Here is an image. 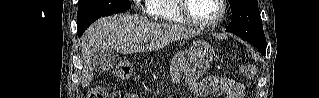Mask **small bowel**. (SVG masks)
Instances as JSON below:
<instances>
[{"label":"small bowel","mask_w":319,"mask_h":98,"mask_svg":"<svg viewBox=\"0 0 319 98\" xmlns=\"http://www.w3.org/2000/svg\"><path fill=\"white\" fill-rule=\"evenodd\" d=\"M172 78L175 83H179L181 79V73L179 69L174 68L172 70ZM207 93L213 94L218 91H223L227 98H242L244 87L242 84L221 77H209L206 80Z\"/></svg>","instance_id":"small-bowel-1"}]
</instances>
